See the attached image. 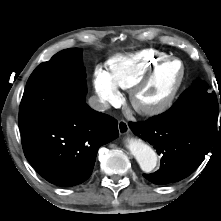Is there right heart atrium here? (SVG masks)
I'll return each mask as SVG.
<instances>
[{
  "instance_id": "1",
  "label": "right heart atrium",
  "mask_w": 221,
  "mask_h": 221,
  "mask_svg": "<svg viewBox=\"0 0 221 221\" xmlns=\"http://www.w3.org/2000/svg\"><path fill=\"white\" fill-rule=\"evenodd\" d=\"M93 85L100 103L107 108L119 101L121 93L118 86L113 82L109 73L101 67L94 72Z\"/></svg>"
}]
</instances>
